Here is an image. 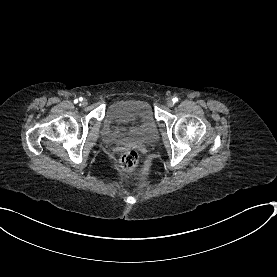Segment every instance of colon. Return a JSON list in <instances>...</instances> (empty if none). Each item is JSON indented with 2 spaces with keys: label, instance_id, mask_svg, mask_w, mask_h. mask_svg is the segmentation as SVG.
<instances>
[{
  "label": "colon",
  "instance_id": "obj_1",
  "mask_svg": "<svg viewBox=\"0 0 277 277\" xmlns=\"http://www.w3.org/2000/svg\"><path fill=\"white\" fill-rule=\"evenodd\" d=\"M116 161L122 170L131 178L140 177L145 172V165L141 161V154L135 145H128L116 154Z\"/></svg>",
  "mask_w": 277,
  "mask_h": 277
}]
</instances>
